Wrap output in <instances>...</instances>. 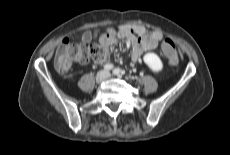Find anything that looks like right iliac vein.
Returning <instances> with one entry per match:
<instances>
[{"instance_id":"63e3f726","label":"right iliac vein","mask_w":230,"mask_h":155,"mask_svg":"<svg viewBox=\"0 0 230 155\" xmlns=\"http://www.w3.org/2000/svg\"><path fill=\"white\" fill-rule=\"evenodd\" d=\"M106 77H107L106 73L101 71L96 75V82L100 84L105 80Z\"/></svg>"}]
</instances>
